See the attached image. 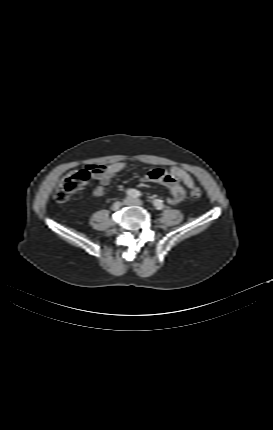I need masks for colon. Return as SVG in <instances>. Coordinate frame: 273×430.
Listing matches in <instances>:
<instances>
[{
    "label": "colon",
    "instance_id": "obj_1",
    "mask_svg": "<svg viewBox=\"0 0 273 430\" xmlns=\"http://www.w3.org/2000/svg\"><path fill=\"white\" fill-rule=\"evenodd\" d=\"M91 175L86 174L83 170L72 171L65 175L59 183L54 198L58 202H65L76 192L85 189L88 186ZM192 198H199L202 191L199 188H193L190 191Z\"/></svg>",
    "mask_w": 273,
    "mask_h": 430
}]
</instances>
